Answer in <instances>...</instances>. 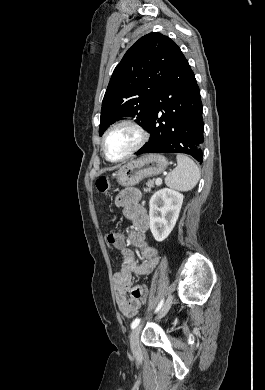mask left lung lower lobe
Masks as SVG:
<instances>
[{"mask_svg": "<svg viewBox=\"0 0 265 390\" xmlns=\"http://www.w3.org/2000/svg\"><path fill=\"white\" fill-rule=\"evenodd\" d=\"M150 139L137 153H184L202 163L200 90L182 54L152 103L146 128Z\"/></svg>", "mask_w": 265, "mask_h": 390, "instance_id": "1", "label": "left lung lower lobe"}]
</instances>
